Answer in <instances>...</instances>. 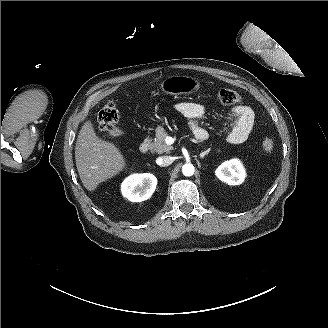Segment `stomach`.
Wrapping results in <instances>:
<instances>
[{
  "instance_id": "0dacf381",
  "label": "stomach",
  "mask_w": 328,
  "mask_h": 328,
  "mask_svg": "<svg viewBox=\"0 0 328 328\" xmlns=\"http://www.w3.org/2000/svg\"><path fill=\"white\" fill-rule=\"evenodd\" d=\"M200 88V82L190 76H170L161 83L162 91L170 95H188L199 91Z\"/></svg>"
}]
</instances>
